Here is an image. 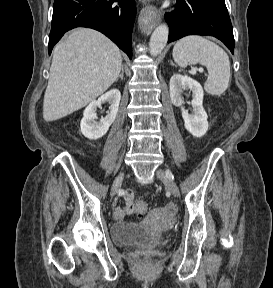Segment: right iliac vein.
<instances>
[{
  "mask_svg": "<svg viewBox=\"0 0 273 288\" xmlns=\"http://www.w3.org/2000/svg\"><path fill=\"white\" fill-rule=\"evenodd\" d=\"M124 178V173H120L117 178L114 180L112 188H111V195L113 196L119 187L121 186L122 180Z\"/></svg>",
  "mask_w": 273,
  "mask_h": 288,
  "instance_id": "63e3f726",
  "label": "right iliac vein"
}]
</instances>
